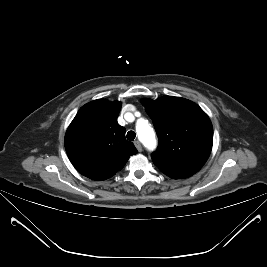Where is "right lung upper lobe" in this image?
<instances>
[{
	"label": "right lung upper lobe",
	"instance_id": "obj_1",
	"mask_svg": "<svg viewBox=\"0 0 267 267\" xmlns=\"http://www.w3.org/2000/svg\"><path fill=\"white\" fill-rule=\"evenodd\" d=\"M121 102L95 100L82 106L65 135V149L74 167L93 180H105L120 171L137 153L117 122Z\"/></svg>",
	"mask_w": 267,
	"mask_h": 267
}]
</instances>
